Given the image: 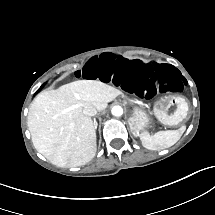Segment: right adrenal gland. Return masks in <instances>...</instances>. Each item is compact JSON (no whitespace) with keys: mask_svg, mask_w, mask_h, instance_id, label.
<instances>
[{"mask_svg":"<svg viewBox=\"0 0 215 215\" xmlns=\"http://www.w3.org/2000/svg\"><path fill=\"white\" fill-rule=\"evenodd\" d=\"M98 123L96 121V119H94V128L97 129Z\"/></svg>","mask_w":215,"mask_h":215,"instance_id":"2a0ac1e0","label":"right adrenal gland"}]
</instances>
